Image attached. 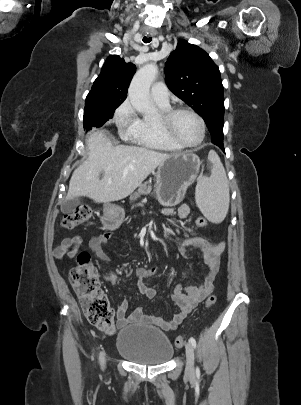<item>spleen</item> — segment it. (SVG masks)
<instances>
[{
	"label": "spleen",
	"instance_id": "1",
	"mask_svg": "<svg viewBox=\"0 0 301 405\" xmlns=\"http://www.w3.org/2000/svg\"><path fill=\"white\" fill-rule=\"evenodd\" d=\"M208 159L213 164L210 177H202L196 187V200L209 220L220 223L229 209V186L225 169L215 151H210Z\"/></svg>",
	"mask_w": 301,
	"mask_h": 405
}]
</instances>
